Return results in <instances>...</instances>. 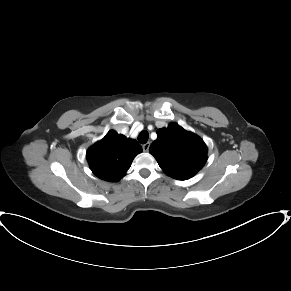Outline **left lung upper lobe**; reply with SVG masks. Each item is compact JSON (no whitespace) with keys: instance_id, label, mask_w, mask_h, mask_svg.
I'll return each mask as SVG.
<instances>
[{"instance_id":"obj_1","label":"left lung upper lobe","mask_w":291,"mask_h":291,"mask_svg":"<svg viewBox=\"0 0 291 291\" xmlns=\"http://www.w3.org/2000/svg\"><path fill=\"white\" fill-rule=\"evenodd\" d=\"M149 152L170 177L186 180L201 170L207 160V147L197 135L177 124L157 130Z\"/></svg>"}]
</instances>
